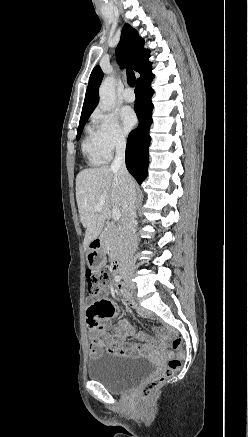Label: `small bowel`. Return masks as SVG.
<instances>
[{
    "instance_id": "obj_1",
    "label": "small bowel",
    "mask_w": 248,
    "mask_h": 437,
    "mask_svg": "<svg viewBox=\"0 0 248 437\" xmlns=\"http://www.w3.org/2000/svg\"><path fill=\"white\" fill-rule=\"evenodd\" d=\"M117 290L125 300H129V292L123 285L119 284ZM86 308L87 326L91 332L89 338L90 357H97L103 352L126 356L142 355L156 350L157 345L154 341L150 340L144 333L137 332L125 320H120L112 326L113 334L108 331L105 323L109 322L116 311L113 299L109 298L108 291L87 294ZM140 314L143 313L140 312ZM127 337L147 341V344L142 346L138 343H128L126 342ZM164 340V335H161V341L164 342Z\"/></svg>"
}]
</instances>
